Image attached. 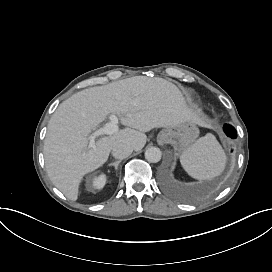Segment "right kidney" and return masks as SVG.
<instances>
[{"label": "right kidney", "instance_id": "ca27d5eb", "mask_svg": "<svg viewBox=\"0 0 272 272\" xmlns=\"http://www.w3.org/2000/svg\"><path fill=\"white\" fill-rule=\"evenodd\" d=\"M106 184V175L100 174L99 176H94L92 178V188L102 189Z\"/></svg>", "mask_w": 272, "mask_h": 272}]
</instances>
